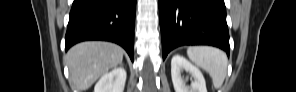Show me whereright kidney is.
Masks as SVG:
<instances>
[{
	"instance_id": "1",
	"label": "right kidney",
	"mask_w": 296,
	"mask_h": 92,
	"mask_svg": "<svg viewBox=\"0 0 296 92\" xmlns=\"http://www.w3.org/2000/svg\"><path fill=\"white\" fill-rule=\"evenodd\" d=\"M125 82L126 71L120 66L104 74L96 83L94 92H123Z\"/></svg>"
}]
</instances>
